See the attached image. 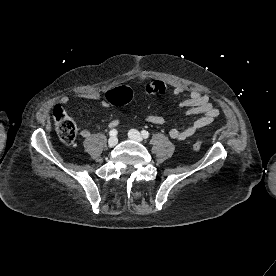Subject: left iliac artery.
Returning a JSON list of instances; mask_svg holds the SVG:
<instances>
[{
  "mask_svg": "<svg viewBox=\"0 0 276 276\" xmlns=\"http://www.w3.org/2000/svg\"><path fill=\"white\" fill-rule=\"evenodd\" d=\"M141 135L143 136V138H148L149 137V132L148 131H146V130H142L141 131Z\"/></svg>",
  "mask_w": 276,
  "mask_h": 276,
  "instance_id": "44dca946",
  "label": "left iliac artery"
}]
</instances>
